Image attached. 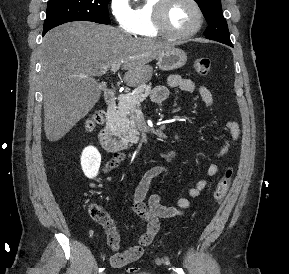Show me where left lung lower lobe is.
I'll use <instances>...</instances> for the list:
<instances>
[{"label": "left lung lower lobe", "instance_id": "left-lung-lower-lobe-1", "mask_svg": "<svg viewBox=\"0 0 289 274\" xmlns=\"http://www.w3.org/2000/svg\"><path fill=\"white\" fill-rule=\"evenodd\" d=\"M227 45H229V46L233 47L232 43H228Z\"/></svg>", "mask_w": 289, "mask_h": 274}]
</instances>
